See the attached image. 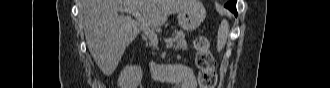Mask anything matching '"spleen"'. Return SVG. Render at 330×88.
Listing matches in <instances>:
<instances>
[{
    "mask_svg": "<svg viewBox=\"0 0 330 88\" xmlns=\"http://www.w3.org/2000/svg\"><path fill=\"white\" fill-rule=\"evenodd\" d=\"M229 37V23L227 20H223L219 26L217 34V51L220 52L226 44Z\"/></svg>",
    "mask_w": 330,
    "mask_h": 88,
    "instance_id": "1",
    "label": "spleen"
}]
</instances>
